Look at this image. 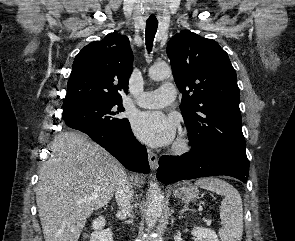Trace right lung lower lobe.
Here are the masks:
<instances>
[{
  "label": "right lung lower lobe",
  "mask_w": 295,
  "mask_h": 241,
  "mask_svg": "<svg viewBox=\"0 0 295 241\" xmlns=\"http://www.w3.org/2000/svg\"><path fill=\"white\" fill-rule=\"evenodd\" d=\"M74 129L86 133L128 170L145 174L150 172L146 148L134 137L131 127L124 131L100 125H82Z\"/></svg>",
  "instance_id": "obj_1"
}]
</instances>
